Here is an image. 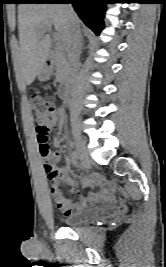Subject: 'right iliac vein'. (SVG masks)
Listing matches in <instances>:
<instances>
[{
	"label": "right iliac vein",
	"mask_w": 166,
	"mask_h": 267,
	"mask_svg": "<svg viewBox=\"0 0 166 267\" xmlns=\"http://www.w3.org/2000/svg\"><path fill=\"white\" fill-rule=\"evenodd\" d=\"M75 145H76V150L78 153V156L81 160V164L84 167H89L91 160L89 158L88 151L84 145V142L81 140V138L77 137L75 139Z\"/></svg>",
	"instance_id": "right-iliac-vein-1"
}]
</instances>
